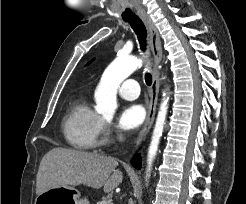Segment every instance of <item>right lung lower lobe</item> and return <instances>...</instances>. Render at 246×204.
I'll list each match as a JSON object with an SVG mask.
<instances>
[{
    "label": "right lung lower lobe",
    "mask_w": 246,
    "mask_h": 204,
    "mask_svg": "<svg viewBox=\"0 0 246 204\" xmlns=\"http://www.w3.org/2000/svg\"><path fill=\"white\" fill-rule=\"evenodd\" d=\"M132 165L137 168L140 169L141 168V158L138 155H135L134 159L132 160Z\"/></svg>",
    "instance_id": "obj_1"
}]
</instances>
